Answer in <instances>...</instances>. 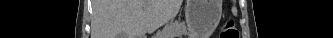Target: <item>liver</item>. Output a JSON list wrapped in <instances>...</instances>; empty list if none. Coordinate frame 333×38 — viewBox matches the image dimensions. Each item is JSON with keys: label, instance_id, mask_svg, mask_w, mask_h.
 <instances>
[{"label": "liver", "instance_id": "1", "mask_svg": "<svg viewBox=\"0 0 333 38\" xmlns=\"http://www.w3.org/2000/svg\"><path fill=\"white\" fill-rule=\"evenodd\" d=\"M182 0H95L91 38L143 36L173 18Z\"/></svg>", "mask_w": 333, "mask_h": 38}]
</instances>
